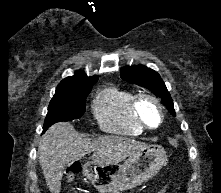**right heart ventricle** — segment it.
<instances>
[{
    "instance_id": "1",
    "label": "right heart ventricle",
    "mask_w": 221,
    "mask_h": 193,
    "mask_svg": "<svg viewBox=\"0 0 221 193\" xmlns=\"http://www.w3.org/2000/svg\"><path fill=\"white\" fill-rule=\"evenodd\" d=\"M135 95L123 88L107 87L93 101V112L100 127L111 133L139 136L142 128L134 119L131 104Z\"/></svg>"
}]
</instances>
